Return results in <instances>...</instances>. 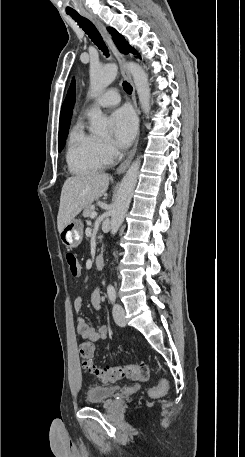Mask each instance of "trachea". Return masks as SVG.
<instances>
[{"label": "trachea", "mask_w": 245, "mask_h": 457, "mask_svg": "<svg viewBox=\"0 0 245 457\" xmlns=\"http://www.w3.org/2000/svg\"><path fill=\"white\" fill-rule=\"evenodd\" d=\"M67 15H70V17H72L73 20H75V22L78 23V25L85 31V33H87L89 38H91L92 42H94L95 45H97V47L100 50H102L104 55H106L108 57L109 51H108L105 43L103 42V39H102L100 33L95 28V25H93L87 18L81 17V15H79V13H68ZM122 85H123V89L125 90L126 93H128V94L132 93L133 88L130 85V83H128V82H126V80H124Z\"/></svg>", "instance_id": "obj_1"}]
</instances>
